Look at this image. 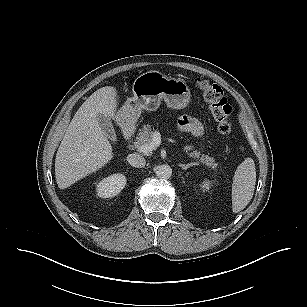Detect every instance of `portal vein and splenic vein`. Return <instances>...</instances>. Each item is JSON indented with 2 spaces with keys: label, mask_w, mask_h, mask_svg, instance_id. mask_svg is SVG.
Here are the masks:
<instances>
[{
  "label": "portal vein and splenic vein",
  "mask_w": 307,
  "mask_h": 307,
  "mask_svg": "<svg viewBox=\"0 0 307 307\" xmlns=\"http://www.w3.org/2000/svg\"><path fill=\"white\" fill-rule=\"evenodd\" d=\"M161 144V135L158 131L153 132V136L151 142L149 144H145L137 147L140 152L149 153L157 148Z\"/></svg>",
  "instance_id": "portal-vein-and-splenic-vein-1"
}]
</instances>
